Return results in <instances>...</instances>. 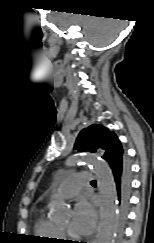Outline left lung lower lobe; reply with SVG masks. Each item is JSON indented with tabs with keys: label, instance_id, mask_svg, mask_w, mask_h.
Here are the masks:
<instances>
[{
	"label": "left lung lower lobe",
	"instance_id": "obj_1",
	"mask_svg": "<svg viewBox=\"0 0 154 243\" xmlns=\"http://www.w3.org/2000/svg\"><path fill=\"white\" fill-rule=\"evenodd\" d=\"M108 162L112 169L115 189L117 193V201L119 206L117 234L119 237H121L129 209L131 192L130 165L125 154L123 159H121L118 156L114 157L112 160H109Z\"/></svg>",
	"mask_w": 154,
	"mask_h": 243
}]
</instances>
